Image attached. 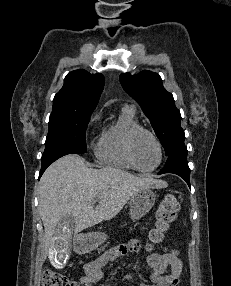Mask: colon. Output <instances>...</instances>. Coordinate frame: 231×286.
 <instances>
[{
	"mask_svg": "<svg viewBox=\"0 0 231 286\" xmlns=\"http://www.w3.org/2000/svg\"><path fill=\"white\" fill-rule=\"evenodd\" d=\"M179 210L176 198L171 194L166 195L157 209L155 226L149 232L148 249L164 240L166 233L177 219ZM42 284L43 286H80L78 282L53 270L44 273Z\"/></svg>",
	"mask_w": 231,
	"mask_h": 286,
	"instance_id": "obj_1",
	"label": "colon"
}]
</instances>
